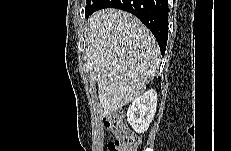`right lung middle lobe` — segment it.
<instances>
[{"label":"right lung middle lobe","instance_id":"1","mask_svg":"<svg viewBox=\"0 0 231 151\" xmlns=\"http://www.w3.org/2000/svg\"><path fill=\"white\" fill-rule=\"evenodd\" d=\"M91 1L87 0V5H86V9L87 10L92 4H90Z\"/></svg>","mask_w":231,"mask_h":151}]
</instances>
